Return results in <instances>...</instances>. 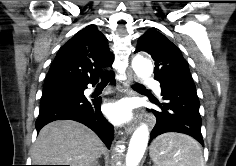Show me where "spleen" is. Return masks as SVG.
Listing matches in <instances>:
<instances>
[{
	"instance_id": "obj_1",
	"label": "spleen",
	"mask_w": 236,
	"mask_h": 166,
	"mask_svg": "<svg viewBox=\"0 0 236 166\" xmlns=\"http://www.w3.org/2000/svg\"><path fill=\"white\" fill-rule=\"evenodd\" d=\"M150 157L156 166H205L199 144L179 133L158 136L151 145Z\"/></svg>"
}]
</instances>
